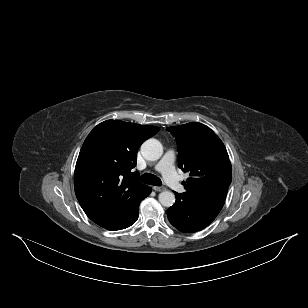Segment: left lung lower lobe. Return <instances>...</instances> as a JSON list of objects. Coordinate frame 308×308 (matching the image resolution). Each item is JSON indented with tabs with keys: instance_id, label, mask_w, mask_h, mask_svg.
<instances>
[{
	"instance_id": "0a47b994",
	"label": "left lung lower lobe",
	"mask_w": 308,
	"mask_h": 308,
	"mask_svg": "<svg viewBox=\"0 0 308 308\" xmlns=\"http://www.w3.org/2000/svg\"><path fill=\"white\" fill-rule=\"evenodd\" d=\"M228 188L187 199L176 192V202L167 210L170 223L181 232L193 233L207 227L222 209Z\"/></svg>"
}]
</instances>
